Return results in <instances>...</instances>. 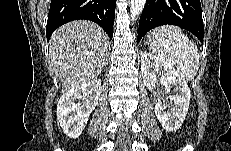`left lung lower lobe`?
I'll use <instances>...</instances> for the list:
<instances>
[{"label": "left lung lower lobe", "instance_id": "obj_1", "mask_svg": "<svg viewBox=\"0 0 231 151\" xmlns=\"http://www.w3.org/2000/svg\"><path fill=\"white\" fill-rule=\"evenodd\" d=\"M167 24L188 30L203 43L200 0H146L139 21L137 42L151 29Z\"/></svg>", "mask_w": 231, "mask_h": 151}]
</instances>
